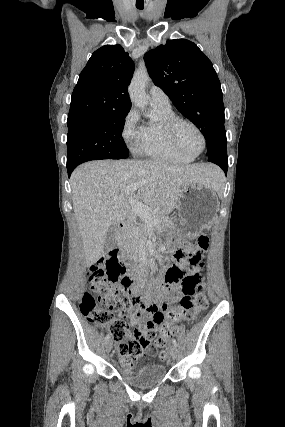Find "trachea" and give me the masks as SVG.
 Listing matches in <instances>:
<instances>
[{"mask_svg":"<svg viewBox=\"0 0 285 427\" xmlns=\"http://www.w3.org/2000/svg\"><path fill=\"white\" fill-rule=\"evenodd\" d=\"M138 9H140V10H142L143 9V7H137Z\"/></svg>","mask_w":285,"mask_h":427,"instance_id":"1","label":"trachea"}]
</instances>
